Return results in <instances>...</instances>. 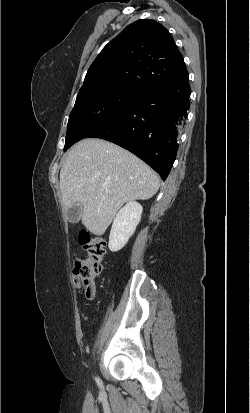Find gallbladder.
<instances>
[{
	"mask_svg": "<svg viewBox=\"0 0 250 413\" xmlns=\"http://www.w3.org/2000/svg\"><path fill=\"white\" fill-rule=\"evenodd\" d=\"M66 216H67V219L70 223H77L80 220V217H81V208H80V206L70 207L66 211Z\"/></svg>",
	"mask_w": 250,
	"mask_h": 413,
	"instance_id": "obj_1",
	"label": "gallbladder"
}]
</instances>
